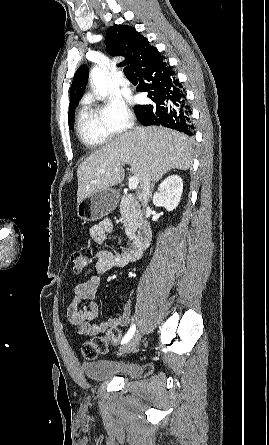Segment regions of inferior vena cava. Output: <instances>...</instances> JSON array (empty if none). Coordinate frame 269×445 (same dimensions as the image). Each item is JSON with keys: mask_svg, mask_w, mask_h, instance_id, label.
Listing matches in <instances>:
<instances>
[{"mask_svg": "<svg viewBox=\"0 0 269 445\" xmlns=\"http://www.w3.org/2000/svg\"><path fill=\"white\" fill-rule=\"evenodd\" d=\"M133 125V123H132ZM136 132H138L139 134H143V130L142 128H136ZM142 187V198H143V203L145 206H147L148 200H149V195H150V179L149 178H145L143 180V183L141 185Z\"/></svg>", "mask_w": 269, "mask_h": 445, "instance_id": "inferior-vena-cava-1", "label": "inferior vena cava"}]
</instances>
